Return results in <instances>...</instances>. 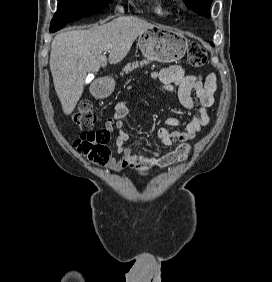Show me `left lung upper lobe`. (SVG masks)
Returning <instances> with one entry per match:
<instances>
[{"instance_id": "5c2ea615", "label": "left lung upper lobe", "mask_w": 272, "mask_h": 282, "mask_svg": "<svg viewBox=\"0 0 272 282\" xmlns=\"http://www.w3.org/2000/svg\"><path fill=\"white\" fill-rule=\"evenodd\" d=\"M188 8H191L196 13L210 17V5L212 0H183Z\"/></svg>"}]
</instances>
